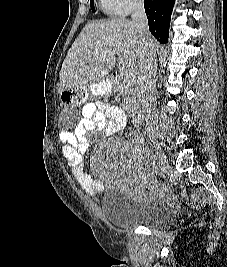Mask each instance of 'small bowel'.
<instances>
[{
	"instance_id": "c3829d8e",
	"label": "small bowel",
	"mask_w": 227,
	"mask_h": 267,
	"mask_svg": "<svg viewBox=\"0 0 227 267\" xmlns=\"http://www.w3.org/2000/svg\"><path fill=\"white\" fill-rule=\"evenodd\" d=\"M126 123V115L120 107L105 102H87L81 109V118L74 129L59 132L63 156L73 177L88 195H97L102 187L101 182L84 169V155L90 142L97 137V133L104 137L119 133L125 128ZM146 176V172L140 173L139 177L144 181L138 183L136 191L140 196L150 197L156 190L145 180Z\"/></svg>"
}]
</instances>
